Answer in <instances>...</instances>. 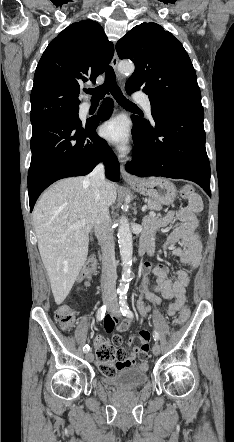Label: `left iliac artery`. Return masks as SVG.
<instances>
[{"mask_svg":"<svg viewBox=\"0 0 234 442\" xmlns=\"http://www.w3.org/2000/svg\"><path fill=\"white\" fill-rule=\"evenodd\" d=\"M119 298H120V300H119L120 310H121L122 314L128 318H133V313L129 309L128 304H127L126 293H121ZM153 337H154L155 341L159 340V334L156 331L154 332Z\"/></svg>","mask_w":234,"mask_h":442,"instance_id":"44dca946","label":"left iliac artery"}]
</instances>
